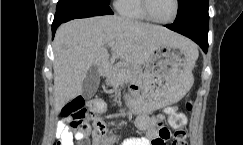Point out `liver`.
Instances as JSON below:
<instances>
[{
	"label": "liver",
	"instance_id": "obj_1",
	"mask_svg": "<svg viewBox=\"0 0 243 145\" xmlns=\"http://www.w3.org/2000/svg\"><path fill=\"white\" fill-rule=\"evenodd\" d=\"M125 63L140 67L148 63L163 44L183 48L191 43L164 27L120 16H96L62 24L53 43L54 108L59 112L82 94L84 78L92 66L108 61L107 44Z\"/></svg>",
	"mask_w": 243,
	"mask_h": 145
}]
</instances>
